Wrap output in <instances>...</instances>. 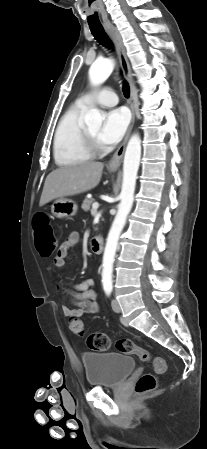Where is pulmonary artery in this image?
Returning <instances> with one entry per match:
<instances>
[{"label": "pulmonary artery", "instance_id": "e3ab8cb5", "mask_svg": "<svg viewBox=\"0 0 207 449\" xmlns=\"http://www.w3.org/2000/svg\"><path fill=\"white\" fill-rule=\"evenodd\" d=\"M77 103L86 106L90 103H96L101 106L111 107L118 103V97L111 88H104L95 94H84Z\"/></svg>", "mask_w": 207, "mask_h": 449}]
</instances>
